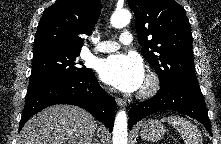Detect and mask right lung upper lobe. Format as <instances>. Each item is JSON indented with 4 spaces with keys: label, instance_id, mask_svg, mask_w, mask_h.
<instances>
[{
    "label": "right lung upper lobe",
    "instance_id": "1",
    "mask_svg": "<svg viewBox=\"0 0 221 144\" xmlns=\"http://www.w3.org/2000/svg\"><path fill=\"white\" fill-rule=\"evenodd\" d=\"M100 0H57L38 25L34 53L47 50L80 52L100 14Z\"/></svg>",
    "mask_w": 221,
    "mask_h": 144
}]
</instances>
